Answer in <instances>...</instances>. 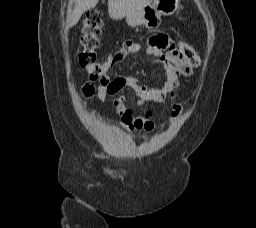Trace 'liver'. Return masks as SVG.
Wrapping results in <instances>:
<instances>
[{
	"instance_id": "liver-1",
	"label": "liver",
	"mask_w": 256,
	"mask_h": 228,
	"mask_svg": "<svg viewBox=\"0 0 256 228\" xmlns=\"http://www.w3.org/2000/svg\"><path fill=\"white\" fill-rule=\"evenodd\" d=\"M75 3L73 11L67 15V25L72 27L78 23L82 14L94 8L99 0H71ZM152 0H108V14L113 19H121L135 13Z\"/></svg>"
}]
</instances>
